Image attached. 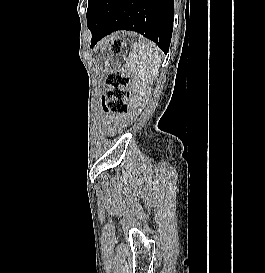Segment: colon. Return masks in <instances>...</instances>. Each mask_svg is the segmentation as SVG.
<instances>
[{
    "mask_svg": "<svg viewBox=\"0 0 265 273\" xmlns=\"http://www.w3.org/2000/svg\"><path fill=\"white\" fill-rule=\"evenodd\" d=\"M122 43L116 39L111 44V51L117 53L120 51ZM131 76L125 71H113L106 77L108 90L102 96L103 109L110 115H121L128 111V99L130 96L128 87Z\"/></svg>",
    "mask_w": 265,
    "mask_h": 273,
    "instance_id": "5ec220e1",
    "label": "colon"
}]
</instances>
